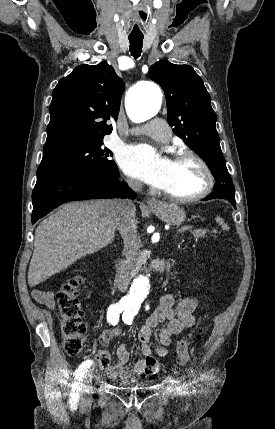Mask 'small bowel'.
<instances>
[{
	"mask_svg": "<svg viewBox=\"0 0 275 429\" xmlns=\"http://www.w3.org/2000/svg\"><path fill=\"white\" fill-rule=\"evenodd\" d=\"M32 295L37 302L53 308V292L35 290ZM198 305L199 300L195 297H185L176 303L171 293L162 294L159 297L158 306L147 318L138 333L142 358L137 360L134 366L129 369V352L125 344L122 343L117 348V361L107 370L108 375L110 377L134 380L137 376L143 374L146 371L149 359H154L156 355L164 357L167 353L166 347L171 344L172 337L195 324L194 312ZM159 324H164L165 326L159 333V345L153 346L150 344L152 331ZM120 334L121 329L114 326L102 332L98 340L101 344H107Z\"/></svg>",
	"mask_w": 275,
	"mask_h": 429,
	"instance_id": "obj_1",
	"label": "small bowel"
}]
</instances>
